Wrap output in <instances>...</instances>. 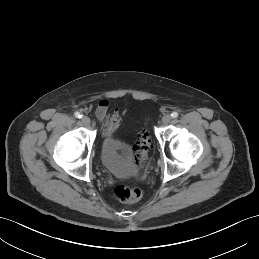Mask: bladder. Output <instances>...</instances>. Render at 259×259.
Returning <instances> with one entry per match:
<instances>
[{
    "mask_svg": "<svg viewBox=\"0 0 259 259\" xmlns=\"http://www.w3.org/2000/svg\"><path fill=\"white\" fill-rule=\"evenodd\" d=\"M100 161L113 175L125 176L133 172V153L130 144L115 137H106L100 149Z\"/></svg>",
    "mask_w": 259,
    "mask_h": 259,
    "instance_id": "bladder-1",
    "label": "bladder"
}]
</instances>
